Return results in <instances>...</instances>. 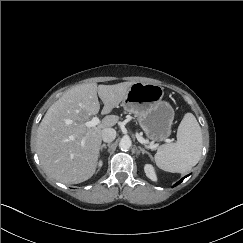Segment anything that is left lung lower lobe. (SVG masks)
Here are the masks:
<instances>
[{
    "mask_svg": "<svg viewBox=\"0 0 243 243\" xmlns=\"http://www.w3.org/2000/svg\"><path fill=\"white\" fill-rule=\"evenodd\" d=\"M185 178V177H184ZM184 178L182 179V180H180L178 183H176L174 186H176V185H178L179 183H181L183 180H184Z\"/></svg>",
    "mask_w": 243,
    "mask_h": 243,
    "instance_id": "left-lung-lower-lobe-1",
    "label": "left lung lower lobe"
}]
</instances>
